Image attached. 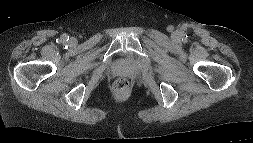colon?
I'll return each mask as SVG.
<instances>
[{
  "mask_svg": "<svg viewBox=\"0 0 253 143\" xmlns=\"http://www.w3.org/2000/svg\"><path fill=\"white\" fill-rule=\"evenodd\" d=\"M113 86L116 91H125L129 88V81L124 77H120L114 81Z\"/></svg>",
  "mask_w": 253,
  "mask_h": 143,
  "instance_id": "colon-1",
  "label": "colon"
}]
</instances>
